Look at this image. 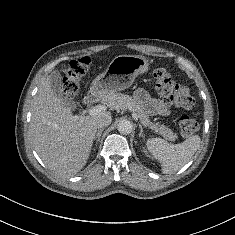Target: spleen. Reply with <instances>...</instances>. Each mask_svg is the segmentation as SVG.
Returning <instances> with one entry per match:
<instances>
[{"mask_svg":"<svg viewBox=\"0 0 235 235\" xmlns=\"http://www.w3.org/2000/svg\"><path fill=\"white\" fill-rule=\"evenodd\" d=\"M201 139L194 135L181 144H171L162 138L147 141L148 150L161 163L162 172L169 174L183 167L199 148Z\"/></svg>","mask_w":235,"mask_h":235,"instance_id":"1","label":"spleen"}]
</instances>
